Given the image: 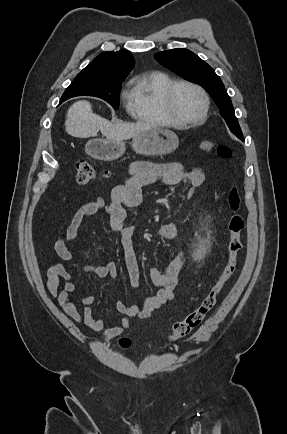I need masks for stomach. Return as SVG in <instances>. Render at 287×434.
<instances>
[{"label":"stomach","mask_w":287,"mask_h":434,"mask_svg":"<svg viewBox=\"0 0 287 434\" xmlns=\"http://www.w3.org/2000/svg\"><path fill=\"white\" fill-rule=\"evenodd\" d=\"M179 144L177 135L168 129L153 127L133 137V150L141 155L155 156L173 152ZM87 153L98 160L112 161L121 157L125 152L122 140H90L86 144Z\"/></svg>","instance_id":"obj_1"}]
</instances>
